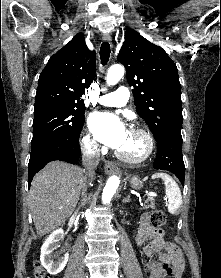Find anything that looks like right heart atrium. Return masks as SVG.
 I'll return each mask as SVG.
<instances>
[{
  "instance_id": "obj_1",
  "label": "right heart atrium",
  "mask_w": 221,
  "mask_h": 278,
  "mask_svg": "<svg viewBox=\"0 0 221 278\" xmlns=\"http://www.w3.org/2000/svg\"><path fill=\"white\" fill-rule=\"evenodd\" d=\"M81 146L84 152L88 154H96L98 152L99 146L95 138L87 133L81 139Z\"/></svg>"
}]
</instances>
